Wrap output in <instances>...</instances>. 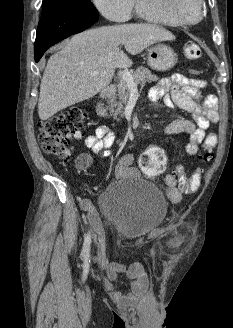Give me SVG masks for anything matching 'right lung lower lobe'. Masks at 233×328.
<instances>
[{"mask_svg": "<svg viewBox=\"0 0 233 328\" xmlns=\"http://www.w3.org/2000/svg\"><path fill=\"white\" fill-rule=\"evenodd\" d=\"M98 12L88 9L44 7L35 41V61L52 45L79 33L98 20Z\"/></svg>", "mask_w": 233, "mask_h": 328, "instance_id": "right-lung-lower-lobe-1", "label": "right lung lower lobe"}]
</instances>
